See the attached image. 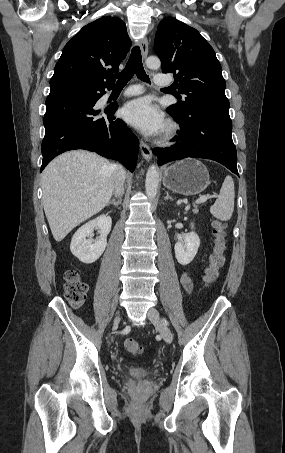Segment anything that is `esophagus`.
Segmentation results:
<instances>
[{
	"mask_svg": "<svg viewBox=\"0 0 285 453\" xmlns=\"http://www.w3.org/2000/svg\"><path fill=\"white\" fill-rule=\"evenodd\" d=\"M140 49L142 57L145 59L148 54V40L146 37H143L140 42ZM140 150L143 158L146 161H150L152 159V150L151 148L143 141H140Z\"/></svg>",
	"mask_w": 285,
	"mask_h": 453,
	"instance_id": "1",
	"label": "esophagus"
}]
</instances>
